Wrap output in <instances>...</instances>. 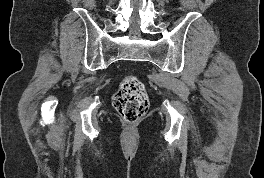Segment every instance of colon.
I'll return each instance as SVG.
<instances>
[{
	"label": "colon",
	"mask_w": 264,
	"mask_h": 178,
	"mask_svg": "<svg viewBox=\"0 0 264 178\" xmlns=\"http://www.w3.org/2000/svg\"><path fill=\"white\" fill-rule=\"evenodd\" d=\"M113 106L127 122L142 118L149 108L144 84L134 75L126 76L113 97Z\"/></svg>",
	"instance_id": "5ec220e1"
}]
</instances>
